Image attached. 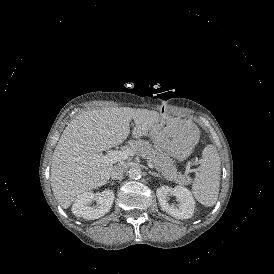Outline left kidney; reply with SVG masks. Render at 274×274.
<instances>
[{"label":"left kidney","mask_w":274,"mask_h":274,"mask_svg":"<svg viewBox=\"0 0 274 274\" xmlns=\"http://www.w3.org/2000/svg\"><path fill=\"white\" fill-rule=\"evenodd\" d=\"M156 196L159 200L161 208L167 214L177 219H190L194 214V200L191 197L190 192L182 186L173 188L168 185H163L157 188ZM168 196H173L176 201L181 203V207L168 203Z\"/></svg>","instance_id":"1"}]
</instances>
